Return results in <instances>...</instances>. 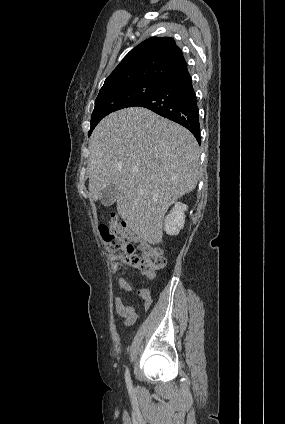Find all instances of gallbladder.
Segmentation results:
<instances>
[{"mask_svg":"<svg viewBox=\"0 0 285 424\" xmlns=\"http://www.w3.org/2000/svg\"><path fill=\"white\" fill-rule=\"evenodd\" d=\"M117 193L118 189L116 184L106 186L101 193L100 202L106 207L111 206L116 200Z\"/></svg>","mask_w":285,"mask_h":424,"instance_id":"1","label":"gallbladder"}]
</instances>
